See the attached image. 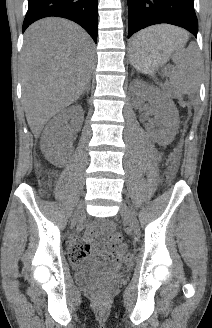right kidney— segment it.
Segmentation results:
<instances>
[{
    "instance_id": "obj_1",
    "label": "right kidney",
    "mask_w": 212,
    "mask_h": 328,
    "mask_svg": "<svg viewBox=\"0 0 212 328\" xmlns=\"http://www.w3.org/2000/svg\"><path fill=\"white\" fill-rule=\"evenodd\" d=\"M83 120L84 111L80 105H73L55 116L46 126L41 139L44 143L45 152L53 154L59 151L63 142L61 133L65 134L66 129L71 132L78 131L81 128ZM69 121L70 124H68ZM63 125H66V127L61 132L60 129Z\"/></svg>"
}]
</instances>
